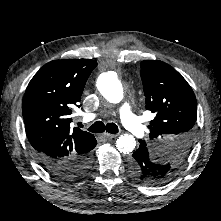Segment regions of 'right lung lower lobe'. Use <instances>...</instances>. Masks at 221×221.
<instances>
[{
	"label": "right lung lower lobe",
	"mask_w": 221,
	"mask_h": 221,
	"mask_svg": "<svg viewBox=\"0 0 221 221\" xmlns=\"http://www.w3.org/2000/svg\"><path fill=\"white\" fill-rule=\"evenodd\" d=\"M36 157L48 172L63 179L76 178L83 175L90 169L92 163L91 153L67 163H59L39 155H36Z\"/></svg>",
	"instance_id": "obj_1"
}]
</instances>
